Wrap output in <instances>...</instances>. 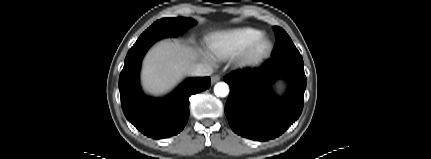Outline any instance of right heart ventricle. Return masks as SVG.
I'll list each match as a JSON object with an SVG mask.
<instances>
[{
    "mask_svg": "<svg viewBox=\"0 0 431 159\" xmlns=\"http://www.w3.org/2000/svg\"><path fill=\"white\" fill-rule=\"evenodd\" d=\"M262 32L252 27H240L219 31L207 37V45L212 54L228 58L241 51L250 41Z\"/></svg>",
    "mask_w": 431,
    "mask_h": 159,
    "instance_id": "1",
    "label": "right heart ventricle"
}]
</instances>
